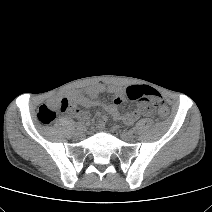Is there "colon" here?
Segmentation results:
<instances>
[{
  "instance_id": "obj_1",
  "label": "colon",
  "mask_w": 212,
  "mask_h": 212,
  "mask_svg": "<svg viewBox=\"0 0 212 212\" xmlns=\"http://www.w3.org/2000/svg\"><path fill=\"white\" fill-rule=\"evenodd\" d=\"M126 96L130 100H145L153 104L161 117L166 118L169 115V109L164 104L160 93L145 85H133L126 89ZM69 109L67 99H55L39 107L37 112V119L44 125L51 124L61 112Z\"/></svg>"
}]
</instances>
